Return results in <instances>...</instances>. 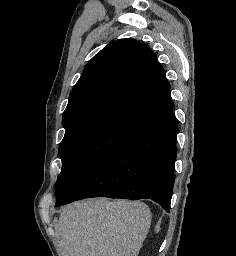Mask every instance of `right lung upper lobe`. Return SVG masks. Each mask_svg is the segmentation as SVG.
<instances>
[{
	"label": "right lung upper lobe",
	"instance_id": "1",
	"mask_svg": "<svg viewBox=\"0 0 236 256\" xmlns=\"http://www.w3.org/2000/svg\"><path fill=\"white\" fill-rule=\"evenodd\" d=\"M171 110L168 81L156 54L134 39H119L86 65L70 93L62 124L66 129L112 112L148 123Z\"/></svg>",
	"mask_w": 236,
	"mask_h": 256
}]
</instances>
